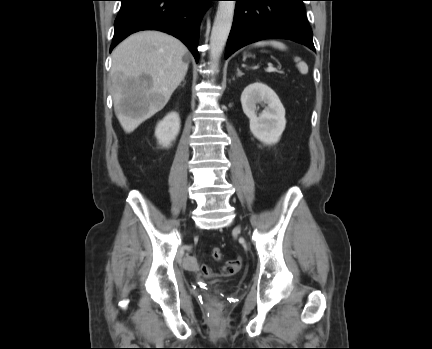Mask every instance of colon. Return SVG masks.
<instances>
[{"label": "colon", "mask_w": 432, "mask_h": 349, "mask_svg": "<svg viewBox=\"0 0 432 349\" xmlns=\"http://www.w3.org/2000/svg\"><path fill=\"white\" fill-rule=\"evenodd\" d=\"M211 255L213 259L215 260H221L222 259V251L218 247H214L211 251Z\"/></svg>", "instance_id": "colon-1"}]
</instances>
